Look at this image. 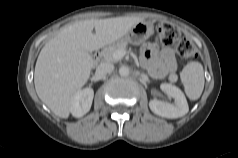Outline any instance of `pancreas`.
I'll list each match as a JSON object with an SVG mask.
<instances>
[{"mask_svg": "<svg viewBox=\"0 0 238 158\" xmlns=\"http://www.w3.org/2000/svg\"><path fill=\"white\" fill-rule=\"evenodd\" d=\"M126 47H127V42H120V43H117L115 45H112V46H109V47L105 48L102 51V55L104 57V60L108 61V62L118 61L114 58V53L117 50H126Z\"/></svg>", "mask_w": 238, "mask_h": 158, "instance_id": "cf45deb5", "label": "pancreas"}]
</instances>
